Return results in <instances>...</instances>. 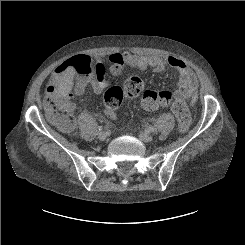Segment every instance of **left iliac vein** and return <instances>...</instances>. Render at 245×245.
I'll return each mask as SVG.
<instances>
[{
    "mask_svg": "<svg viewBox=\"0 0 245 245\" xmlns=\"http://www.w3.org/2000/svg\"><path fill=\"white\" fill-rule=\"evenodd\" d=\"M138 136L144 142H151L153 140V137L145 132H140Z\"/></svg>",
    "mask_w": 245,
    "mask_h": 245,
    "instance_id": "1",
    "label": "left iliac vein"
}]
</instances>
